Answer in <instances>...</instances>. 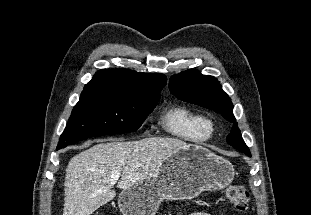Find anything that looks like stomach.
Segmentation results:
<instances>
[{
    "instance_id": "1",
    "label": "stomach",
    "mask_w": 311,
    "mask_h": 215,
    "mask_svg": "<svg viewBox=\"0 0 311 215\" xmlns=\"http://www.w3.org/2000/svg\"><path fill=\"white\" fill-rule=\"evenodd\" d=\"M233 178L230 162L205 147L187 145L150 176L124 189L118 206L123 215H155L163 200L193 199L204 191L226 187Z\"/></svg>"
}]
</instances>
